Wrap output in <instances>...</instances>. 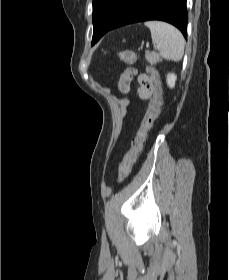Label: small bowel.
<instances>
[{"label": "small bowel", "instance_id": "small-bowel-1", "mask_svg": "<svg viewBox=\"0 0 229 280\" xmlns=\"http://www.w3.org/2000/svg\"><path fill=\"white\" fill-rule=\"evenodd\" d=\"M131 80H132V79H131ZM131 80H129L128 83H127V91L129 90V85H130ZM123 82H124L123 79H121V80H120V83H123ZM138 94H139V96H140L142 99H146V98L144 97V94H143V92H142V88H141V87L138 89Z\"/></svg>", "mask_w": 229, "mask_h": 280}]
</instances>
